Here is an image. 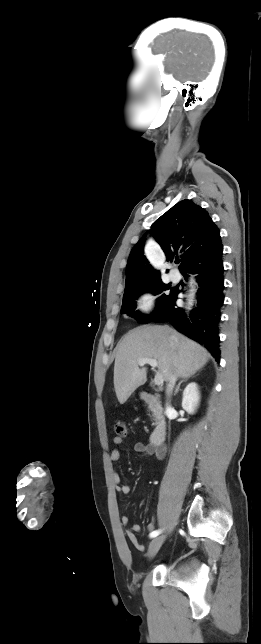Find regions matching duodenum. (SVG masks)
<instances>
[{"label": "duodenum", "mask_w": 261, "mask_h": 644, "mask_svg": "<svg viewBox=\"0 0 261 644\" xmlns=\"http://www.w3.org/2000/svg\"><path fill=\"white\" fill-rule=\"evenodd\" d=\"M140 398L149 405L155 419V429L151 435L150 442L153 446L160 447L167 432L163 408L158 398L152 393L142 392Z\"/></svg>", "instance_id": "1"}]
</instances>
